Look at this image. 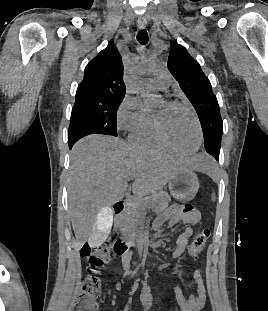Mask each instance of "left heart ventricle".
Masks as SVG:
<instances>
[{
	"mask_svg": "<svg viewBox=\"0 0 268 311\" xmlns=\"http://www.w3.org/2000/svg\"><path fill=\"white\" fill-rule=\"evenodd\" d=\"M155 114L160 119L164 134L170 143L182 151L194 149L198 141V132L188 111L163 103Z\"/></svg>",
	"mask_w": 268,
	"mask_h": 311,
	"instance_id": "obj_1",
	"label": "left heart ventricle"
}]
</instances>
